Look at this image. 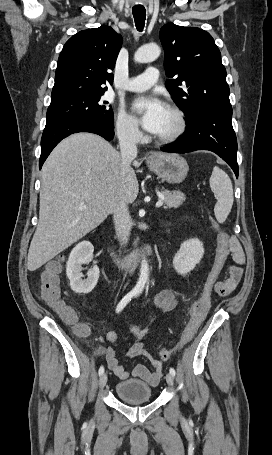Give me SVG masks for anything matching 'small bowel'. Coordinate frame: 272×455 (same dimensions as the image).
Here are the masks:
<instances>
[{"instance_id": "obj_1", "label": "small bowel", "mask_w": 272, "mask_h": 455, "mask_svg": "<svg viewBox=\"0 0 272 455\" xmlns=\"http://www.w3.org/2000/svg\"><path fill=\"white\" fill-rule=\"evenodd\" d=\"M229 251L234 264L229 267L227 277L224 280H218L214 285V292L222 297L229 295L236 289L243 274L242 266L245 263V253L243 248L238 239L234 236L229 239ZM177 302L178 299L176 293L169 289L158 292L153 298L154 306L161 310H171L177 305ZM143 330L144 329L142 327H138L132 331L134 342L128 350V356H143L148 358L152 363L153 369L150 370L145 365L138 364L133 368L132 375L151 385H156L162 377L163 367L161 362L153 360L145 350L144 345L141 342ZM107 339L115 345L118 341V335L115 332H109L107 334ZM102 352L105 356L108 368L120 380H126L129 377V373L118 363L114 348L107 347L104 348Z\"/></svg>"}]
</instances>
